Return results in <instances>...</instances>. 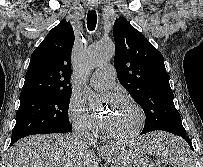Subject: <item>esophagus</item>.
<instances>
[{
	"label": "esophagus",
	"mask_w": 203,
	"mask_h": 167,
	"mask_svg": "<svg viewBox=\"0 0 203 167\" xmlns=\"http://www.w3.org/2000/svg\"><path fill=\"white\" fill-rule=\"evenodd\" d=\"M89 8H90V9H95V8H97V3H96V2H93V1H90V2H89Z\"/></svg>",
	"instance_id": "obj_1"
}]
</instances>
